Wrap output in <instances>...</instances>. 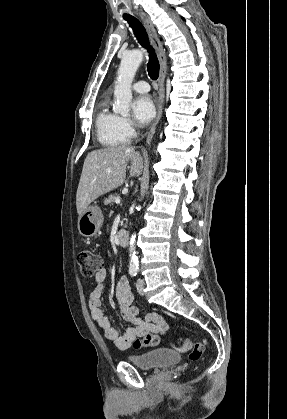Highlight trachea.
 Instances as JSON below:
<instances>
[{
	"label": "trachea",
	"mask_w": 287,
	"mask_h": 419,
	"mask_svg": "<svg viewBox=\"0 0 287 419\" xmlns=\"http://www.w3.org/2000/svg\"><path fill=\"white\" fill-rule=\"evenodd\" d=\"M123 18L129 23V26L133 29L135 37L142 47L147 49L149 53V62L147 64V71L151 79H157L159 76V61L156 53L149 43L148 35L145 28L138 19L131 15H124Z\"/></svg>",
	"instance_id": "obj_1"
}]
</instances>
